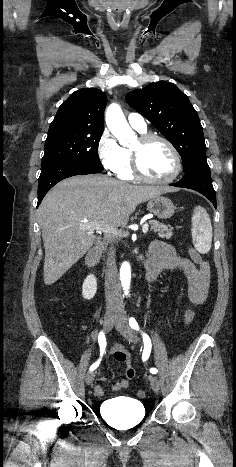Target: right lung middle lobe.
<instances>
[{"label": "right lung middle lobe", "mask_w": 236, "mask_h": 467, "mask_svg": "<svg viewBox=\"0 0 236 467\" xmlns=\"http://www.w3.org/2000/svg\"><path fill=\"white\" fill-rule=\"evenodd\" d=\"M103 130L52 127L48 130L42 167L58 161H76L103 170L98 144Z\"/></svg>", "instance_id": "1"}]
</instances>
